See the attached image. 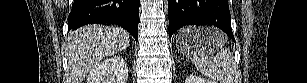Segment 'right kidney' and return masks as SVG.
<instances>
[{
    "label": "right kidney",
    "mask_w": 307,
    "mask_h": 83,
    "mask_svg": "<svg viewBox=\"0 0 307 83\" xmlns=\"http://www.w3.org/2000/svg\"><path fill=\"white\" fill-rule=\"evenodd\" d=\"M128 66L121 56H114L96 64L87 77V83H126Z\"/></svg>",
    "instance_id": "ca27d5eb"
}]
</instances>
